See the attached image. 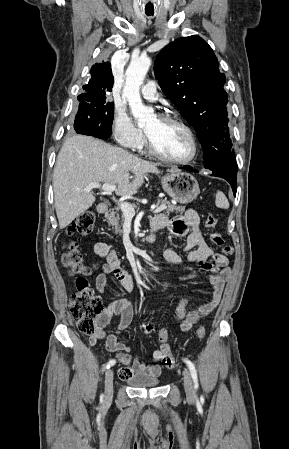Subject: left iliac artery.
I'll use <instances>...</instances> for the list:
<instances>
[{"mask_svg": "<svg viewBox=\"0 0 289 449\" xmlns=\"http://www.w3.org/2000/svg\"><path fill=\"white\" fill-rule=\"evenodd\" d=\"M183 361L187 364V366H188V368L190 370V373H191V377H192L193 382H194V388L197 389L198 388V378H197L196 368H195L194 364L190 360L183 359Z\"/></svg>", "mask_w": 289, "mask_h": 449, "instance_id": "obj_1", "label": "left iliac artery"}]
</instances>
